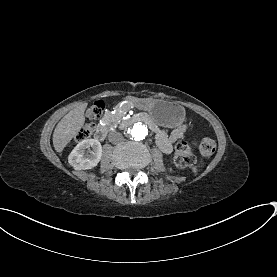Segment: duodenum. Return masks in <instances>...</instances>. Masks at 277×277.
I'll return each instance as SVG.
<instances>
[{
	"instance_id": "1",
	"label": "duodenum",
	"mask_w": 277,
	"mask_h": 277,
	"mask_svg": "<svg viewBox=\"0 0 277 277\" xmlns=\"http://www.w3.org/2000/svg\"><path fill=\"white\" fill-rule=\"evenodd\" d=\"M135 123H144L154 132H158V130H159V127L157 126V124L147 114H137V115H133L131 117H127L122 122L121 127L127 128ZM107 133H108V127L105 125H99L96 128L95 137L98 140H103L107 136Z\"/></svg>"
}]
</instances>
